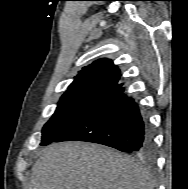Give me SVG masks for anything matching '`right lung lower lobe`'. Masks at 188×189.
Masks as SVG:
<instances>
[{
    "label": "right lung lower lobe",
    "mask_w": 188,
    "mask_h": 189,
    "mask_svg": "<svg viewBox=\"0 0 188 189\" xmlns=\"http://www.w3.org/2000/svg\"><path fill=\"white\" fill-rule=\"evenodd\" d=\"M87 141L143 154L152 148L149 120L132 97L119 88L94 104L53 141Z\"/></svg>",
    "instance_id": "98d812e1"
}]
</instances>
